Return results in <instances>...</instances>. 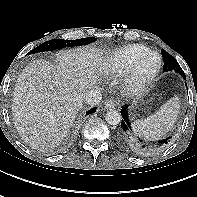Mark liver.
Returning <instances> with one entry per match:
<instances>
[{"instance_id": "obj_1", "label": "liver", "mask_w": 197, "mask_h": 197, "mask_svg": "<svg viewBox=\"0 0 197 197\" xmlns=\"http://www.w3.org/2000/svg\"><path fill=\"white\" fill-rule=\"evenodd\" d=\"M102 52L91 47L57 54V64L36 60L18 76L12 115L22 139L33 148L52 149L69 132L86 91L107 70Z\"/></svg>"}]
</instances>
